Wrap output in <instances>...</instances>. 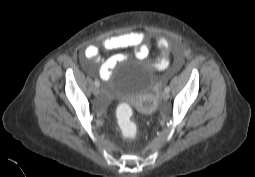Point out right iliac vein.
Segmentation results:
<instances>
[{"mask_svg":"<svg viewBox=\"0 0 255 177\" xmlns=\"http://www.w3.org/2000/svg\"><path fill=\"white\" fill-rule=\"evenodd\" d=\"M99 93H100L99 87H96V86H95V87L93 88V94H94L95 96H98Z\"/></svg>","mask_w":255,"mask_h":177,"instance_id":"63e3f726","label":"right iliac vein"}]
</instances>
